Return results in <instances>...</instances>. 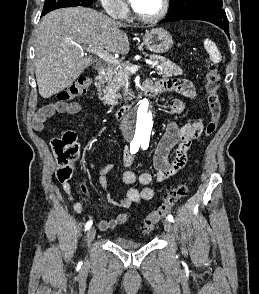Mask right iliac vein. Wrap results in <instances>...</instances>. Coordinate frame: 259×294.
Masks as SVG:
<instances>
[{"mask_svg": "<svg viewBox=\"0 0 259 294\" xmlns=\"http://www.w3.org/2000/svg\"><path fill=\"white\" fill-rule=\"evenodd\" d=\"M95 229L91 228L89 229V231L87 232V243L91 244V242L93 241V239L95 238Z\"/></svg>", "mask_w": 259, "mask_h": 294, "instance_id": "63e3f726", "label": "right iliac vein"}]
</instances>
